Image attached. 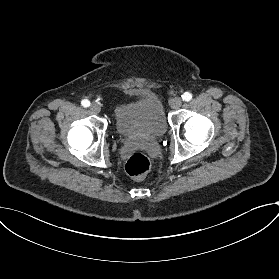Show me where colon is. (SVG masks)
<instances>
[{
    "label": "colon",
    "instance_id": "colon-1",
    "mask_svg": "<svg viewBox=\"0 0 279 279\" xmlns=\"http://www.w3.org/2000/svg\"><path fill=\"white\" fill-rule=\"evenodd\" d=\"M151 161L143 153L132 154L125 165L126 172L133 177H143L150 169Z\"/></svg>",
    "mask_w": 279,
    "mask_h": 279
}]
</instances>
